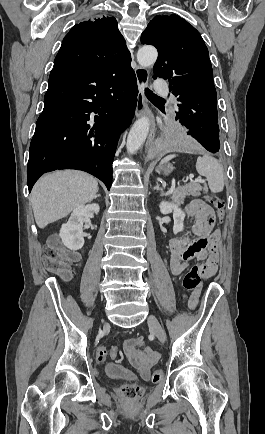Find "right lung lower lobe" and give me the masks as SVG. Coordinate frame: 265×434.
Listing matches in <instances>:
<instances>
[{"label": "right lung lower lobe", "mask_w": 265, "mask_h": 434, "mask_svg": "<svg viewBox=\"0 0 265 434\" xmlns=\"http://www.w3.org/2000/svg\"><path fill=\"white\" fill-rule=\"evenodd\" d=\"M130 62L52 69L30 144L29 192L42 174L56 169L86 171L110 189L119 135L131 123L137 105V81Z\"/></svg>", "instance_id": "1"}]
</instances>
